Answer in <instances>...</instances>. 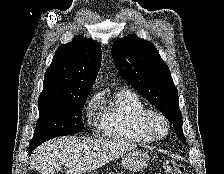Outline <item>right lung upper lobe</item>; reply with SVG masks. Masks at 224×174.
I'll return each mask as SVG.
<instances>
[{
  "label": "right lung upper lobe",
  "mask_w": 224,
  "mask_h": 174,
  "mask_svg": "<svg viewBox=\"0 0 224 174\" xmlns=\"http://www.w3.org/2000/svg\"><path fill=\"white\" fill-rule=\"evenodd\" d=\"M100 45L78 37L56 51L47 69L39 99H69L88 95L101 63Z\"/></svg>",
  "instance_id": "right-lung-upper-lobe-1"
}]
</instances>
